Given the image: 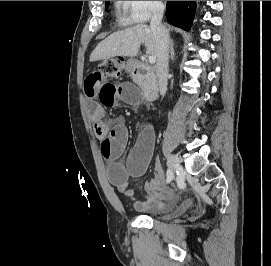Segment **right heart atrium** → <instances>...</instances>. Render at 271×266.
<instances>
[{
	"instance_id": "d8ad5b80",
	"label": "right heart atrium",
	"mask_w": 271,
	"mask_h": 266,
	"mask_svg": "<svg viewBox=\"0 0 271 266\" xmlns=\"http://www.w3.org/2000/svg\"><path fill=\"white\" fill-rule=\"evenodd\" d=\"M130 24H144L163 10L162 1H120Z\"/></svg>"
}]
</instances>
